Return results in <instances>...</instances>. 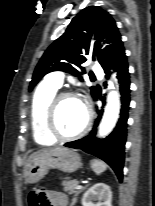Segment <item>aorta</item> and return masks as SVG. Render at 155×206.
I'll return each instance as SVG.
<instances>
[{"mask_svg": "<svg viewBox=\"0 0 155 206\" xmlns=\"http://www.w3.org/2000/svg\"><path fill=\"white\" fill-rule=\"evenodd\" d=\"M111 91L108 94L107 105L99 126V136L104 137L114 128L119 116L120 102L119 94L113 84L110 85Z\"/></svg>", "mask_w": 155, "mask_h": 206, "instance_id": "1", "label": "aorta"}]
</instances>
